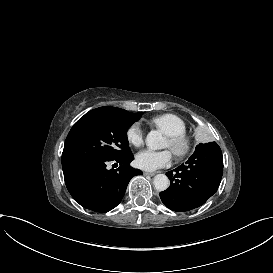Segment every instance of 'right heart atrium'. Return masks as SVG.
Masks as SVG:
<instances>
[{"label":"right heart atrium","instance_id":"d8ad5b80","mask_svg":"<svg viewBox=\"0 0 273 273\" xmlns=\"http://www.w3.org/2000/svg\"><path fill=\"white\" fill-rule=\"evenodd\" d=\"M128 141L135 145L140 146L144 141V130L138 122L132 123L127 129Z\"/></svg>","mask_w":273,"mask_h":273}]
</instances>
